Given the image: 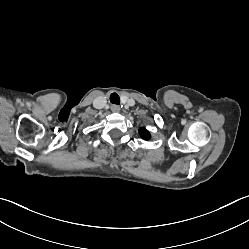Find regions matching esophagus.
Here are the masks:
<instances>
[{
	"instance_id": "34e87169",
	"label": "esophagus",
	"mask_w": 249,
	"mask_h": 249,
	"mask_svg": "<svg viewBox=\"0 0 249 249\" xmlns=\"http://www.w3.org/2000/svg\"><path fill=\"white\" fill-rule=\"evenodd\" d=\"M111 110H112L113 112H119V111H120V108H119L117 105H112V106H111Z\"/></svg>"
}]
</instances>
